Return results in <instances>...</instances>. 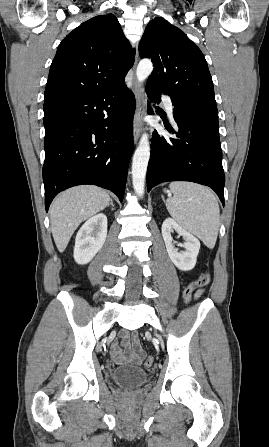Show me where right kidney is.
<instances>
[{
  "label": "right kidney",
  "mask_w": 269,
  "mask_h": 447,
  "mask_svg": "<svg viewBox=\"0 0 269 447\" xmlns=\"http://www.w3.org/2000/svg\"><path fill=\"white\" fill-rule=\"evenodd\" d=\"M107 237V218L96 214L80 227L74 245L73 257L76 263H88L101 249Z\"/></svg>",
  "instance_id": "1"
}]
</instances>
